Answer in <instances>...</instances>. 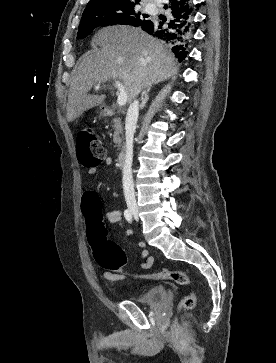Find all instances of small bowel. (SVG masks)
<instances>
[{"instance_id": "small-bowel-1", "label": "small bowel", "mask_w": 276, "mask_h": 363, "mask_svg": "<svg viewBox=\"0 0 276 363\" xmlns=\"http://www.w3.org/2000/svg\"><path fill=\"white\" fill-rule=\"evenodd\" d=\"M111 162H112V159L110 157H108L104 160L103 165L108 166L111 164ZM87 173H88V175L93 176L97 173V168L90 167L88 169ZM82 206H83V210L85 211L86 214L88 213V211H97L98 208L100 207V200H99L98 194L93 190L84 191L83 198H82ZM106 219L109 223H115L119 227H123L122 214L118 210L108 212L106 214ZM127 235L131 236L132 232L129 231L127 233ZM137 246L141 251V253H140L141 267L143 269L150 268L152 266V264L154 263V258L149 255L146 244L144 242L140 241L137 243ZM139 276H140V274H138V273L132 274L133 278H138ZM103 277H104V279H106L108 281L115 282V281L124 280L126 278V274L120 273V272L105 271L103 273Z\"/></svg>"}]
</instances>
